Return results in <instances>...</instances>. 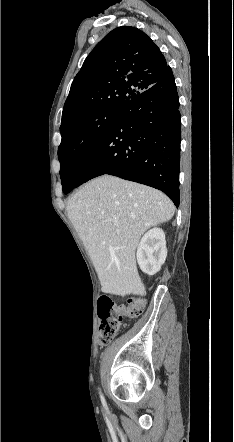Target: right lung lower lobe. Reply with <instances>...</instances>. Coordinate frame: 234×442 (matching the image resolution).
<instances>
[{
    "label": "right lung lower lobe",
    "mask_w": 234,
    "mask_h": 442,
    "mask_svg": "<svg viewBox=\"0 0 234 442\" xmlns=\"http://www.w3.org/2000/svg\"><path fill=\"white\" fill-rule=\"evenodd\" d=\"M174 76L168 66L160 79L125 103L105 137L70 171L69 193L103 174L163 191L179 206L181 118Z\"/></svg>",
    "instance_id": "obj_1"
}]
</instances>
